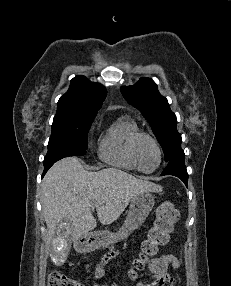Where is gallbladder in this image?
<instances>
[{"label":"gallbladder","instance_id":"bac80fb5","mask_svg":"<svg viewBox=\"0 0 231 286\" xmlns=\"http://www.w3.org/2000/svg\"><path fill=\"white\" fill-rule=\"evenodd\" d=\"M73 228V223L69 217H62L60 223L56 225L57 233L55 237L51 240V257L52 263H56V265H63L65 263V259L68 257V250L70 249L69 245L71 243L70 236L71 229Z\"/></svg>","mask_w":231,"mask_h":286}]
</instances>
